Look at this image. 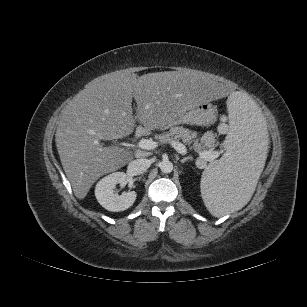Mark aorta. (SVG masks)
Returning <instances> with one entry per match:
<instances>
[{"mask_svg": "<svg viewBox=\"0 0 307 307\" xmlns=\"http://www.w3.org/2000/svg\"><path fill=\"white\" fill-rule=\"evenodd\" d=\"M160 169H161V172L163 173H171L172 170H173V163L169 160H163L161 163H160Z\"/></svg>", "mask_w": 307, "mask_h": 307, "instance_id": "aorta-1", "label": "aorta"}]
</instances>
